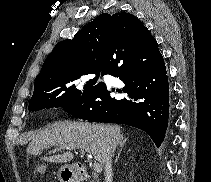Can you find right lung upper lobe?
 I'll return each mask as SVG.
<instances>
[{
	"label": "right lung upper lobe",
	"instance_id": "1",
	"mask_svg": "<svg viewBox=\"0 0 211 182\" xmlns=\"http://www.w3.org/2000/svg\"><path fill=\"white\" fill-rule=\"evenodd\" d=\"M151 35L143 23L127 12L101 14L59 42L45 59L34 89L87 71L102 69L106 58L119 46Z\"/></svg>",
	"mask_w": 211,
	"mask_h": 182
}]
</instances>
